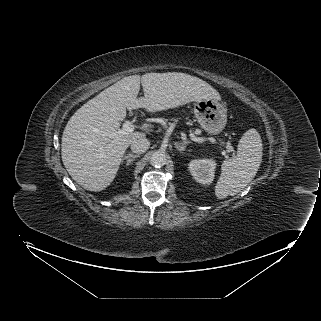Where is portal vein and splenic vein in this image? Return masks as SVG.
<instances>
[{"mask_svg":"<svg viewBox=\"0 0 321 321\" xmlns=\"http://www.w3.org/2000/svg\"><path fill=\"white\" fill-rule=\"evenodd\" d=\"M135 124L131 121H125L124 124H123V127L121 130H118L115 135H126V134H129L131 132L134 131L135 129ZM222 144H224V142H221ZM226 149L229 151V152H232L233 151V147H231L230 145H226Z\"/></svg>","mask_w":321,"mask_h":321,"instance_id":"18ae733b","label":"portal vein and splenic vein"}]
</instances>
